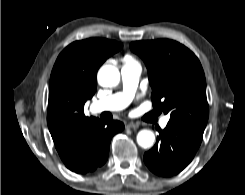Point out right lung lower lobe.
<instances>
[{
    "mask_svg": "<svg viewBox=\"0 0 245 195\" xmlns=\"http://www.w3.org/2000/svg\"><path fill=\"white\" fill-rule=\"evenodd\" d=\"M123 129L124 124L119 121L105 123L99 120L95 122L90 127L79 154L75 159L65 161L64 164L68 169L78 174L96 170L108 158L110 141L113 135Z\"/></svg>",
    "mask_w": 245,
    "mask_h": 195,
    "instance_id": "1",
    "label": "right lung lower lobe"
}]
</instances>
